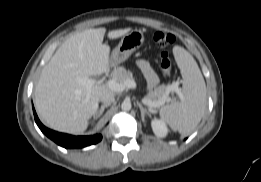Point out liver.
Instances as JSON below:
<instances>
[{"label":"liver","instance_id":"6515ba94","mask_svg":"<svg viewBox=\"0 0 261 182\" xmlns=\"http://www.w3.org/2000/svg\"><path fill=\"white\" fill-rule=\"evenodd\" d=\"M131 28L109 31V39L129 33ZM105 28L87 29L68 38L42 70L35 88V107L50 128L71 134L83 133L105 94H115L95 83L87 88L78 78L103 74L110 69V48L103 44Z\"/></svg>","mask_w":261,"mask_h":182}]
</instances>
